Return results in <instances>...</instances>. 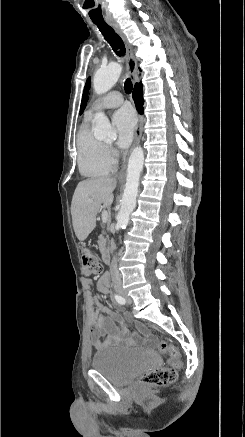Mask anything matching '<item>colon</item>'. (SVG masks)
Listing matches in <instances>:
<instances>
[{
	"label": "colon",
	"instance_id": "colon-1",
	"mask_svg": "<svg viewBox=\"0 0 245 437\" xmlns=\"http://www.w3.org/2000/svg\"><path fill=\"white\" fill-rule=\"evenodd\" d=\"M83 273L86 276L98 275L102 272V264L97 255L90 249H85L82 253ZM163 354L169 356V366L150 371L141 377L143 384L147 386H164L171 384L177 378V371L182 365L178 349L166 342H161L158 346Z\"/></svg>",
	"mask_w": 245,
	"mask_h": 437
}]
</instances>
